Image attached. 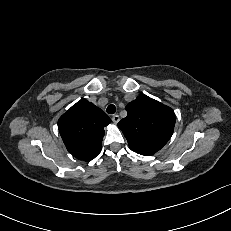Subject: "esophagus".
<instances>
[{
    "mask_svg": "<svg viewBox=\"0 0 231 231\" xmlns=\"http://www.w3.org/2000/svg\"><path fill=\"white\" fill-rule=\"evenodd\" d=\"M111 119H112V121H113L114 123H118L119 120H120V117H119V115L115 114V115L112 116Z\"/></svg>",
    "mask_w": 231,
    "mask_h": 231,
    "instance_id": "1",
    "label": "esophagus"
}]
</instances>
